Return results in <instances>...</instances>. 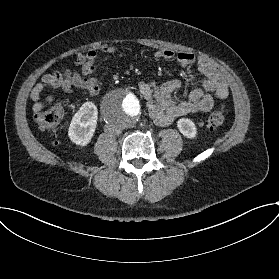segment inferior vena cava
I'll use <instances>...</instances> for the list:
<instances>
[{
  "mask_svg": "<svg viewBox=\"0 0 279 279\" xmlns=\"http://www.w3.org/2000/svg\"><path fill=\"white\" fill-rule=\"evenodd\" d=\"M109 132L112 133L113 135H120V134H122V130L116 129V128H110Z\"/></svg>",
  "mask_w": 279,
  "mask_h": 279,
  "instance_id": "1",
  "label": "inferior vena cava"
}]
</instances>
